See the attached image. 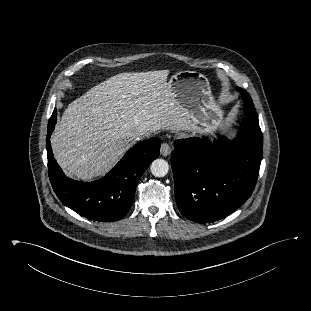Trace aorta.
Segmentation results:
<instances>
[{"label":"aorta","instance_id":"762f6f07","mask_svg":"<svg viewBox=\"0 0 311 311\" xmlns=\"http://www.w3.org/2000/svg\"><path fill=\"white\" fill-rule=\"evenodd\" d=\"M168 171L169 165L164 159H156L151 163V173L156 177H164Z\"/></svg>","mask_w":311,"mask_h":311}]
</instances>
